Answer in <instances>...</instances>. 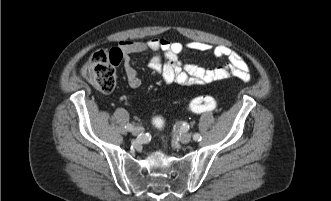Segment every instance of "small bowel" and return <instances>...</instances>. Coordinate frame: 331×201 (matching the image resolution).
<instances>
[{"label":"small bowel","instance_id":"c3829d8e","mask_svg":"<svg viewBox=\"0 0 331 201\" xmlns=\"http://www.w3.org/2000/svg\"><path fill=\"white\" fill-rule=\"evenodd\" d=\"M185 50L209 53L217 58H227L229 62L214 69H206L191 63H182L180 57ZM118 51L121 55L128 85L134 89L141 85V79L136 69L131 65L130 55L147 51L154 52L149 68L152 72L160 75L167 84L175 83L192 87L231 77L243 82H248L251 79L249 67L244 59L236 51L225 45L213 46L202 41L182 44L163 38H152L145 42L123 41L119 44Z\"/></svg>","mask_w":331,"mask_h":201}]
</instances>
